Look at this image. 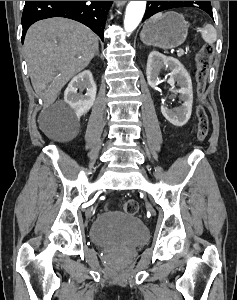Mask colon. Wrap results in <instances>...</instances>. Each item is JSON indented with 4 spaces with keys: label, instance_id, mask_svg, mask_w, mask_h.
Returning <instances> with one entry per match:
<instances>
[{
    "label": "colon",
    "instance_id": "colon-1",
    "mask_svg": "<svg viewBox=\"0 0 237 300\" xmlns=\"http://www.w3.org/2000/svg\"><path fill=\"white\" fill-rule=\"evenodd\" d=\"M214 47L211 44L204 45L196 55V90L200 98L206 88L207 78L210 71ZM198 119L197 139L202 142L207 136L209 120L205 108L199 104L196 110ZM122 209L125 213L134 215L139 210V205L135 200H127L123 203Z\"/></svg>",
    "mask_w": 237,
    "mask_h": 300
}]
</instances>
